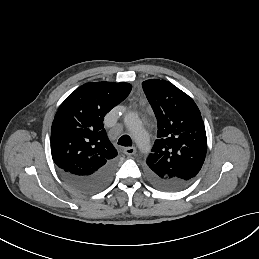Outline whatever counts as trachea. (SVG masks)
I'll list each match as a JSON object with an SVG mask.
<instances>
[{
    "mask_svg": "<svg viewBox=\"0 0 259 259\" xmlns=\"http://www.w3.org/2000/svg\"><path fill=\"white\" fill-rule=\"evenodd\" d=\"M118 144L121 146H132V140L128 135H123L119 138Z\"/></svg>",
    "mask_w": 259,
    "mask_h": 259,
    "instance_id": "trachea-1",
    "label": "trachea"
}]
</instances>
